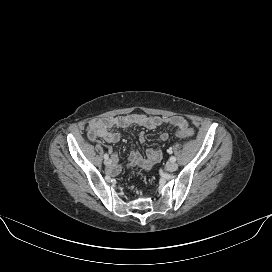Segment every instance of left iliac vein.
<instances>
[{
    "label": "left iliac vein",
    "instance_id": "left-iliac-vein-1",
    "mask_svg": "<svg viewBox=\"0 0 272 272\" xmlns=\"http://www.w3.org/2000/svg\"><path fill=\"white\" fill-rule=\"evenodd\" d=\"M178 168V165L174 162H169L166 164V170L169 172H174Z\"/></svg>",
    "mask_w": 272,
    "mask_h": 272
}]
</instances>
